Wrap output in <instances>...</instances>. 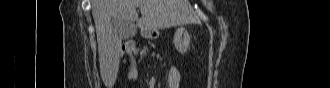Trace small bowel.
Here are the masks:
<instances>
[{
	"mask_svg": "<svg viewBox=\"0 0 330 88\" xmlns=\"http://www.w3.org/2000/svg\"><path fill=\"white\" fill-rule=\"evenodd\" d=\"M181 73L178 68L172 67L167 75V88H179Z\"/></svg>",
	"mask_w": 330,
	"mask_h": 88,
	"instance_id": "small-bowel-1",
	"label": "small bowel"
}]
</instances>
